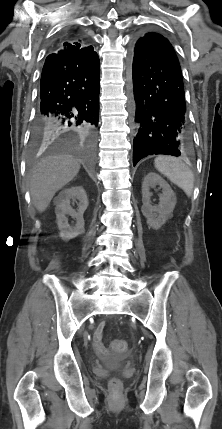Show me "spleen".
<instances>
[{
	"instance_id": "1",
	"label": "spleen",
	"mask_w": 222,
	"mask_h": 429,
	"mask_svg": "<svg viewBox=\"0 0 222 429\" xmlns=\"http://www.w3.org/2000/svg\"><path fill=\"white\" fill-rule=\"evenodd\" d=\"M154 164L160 173L180 187L187 196H191L194 188V175L182 160L171 156H158Z\"/></svg>"
}]
</instances>
